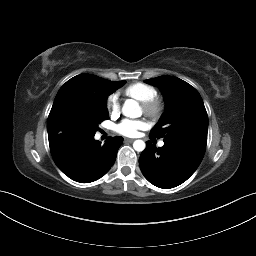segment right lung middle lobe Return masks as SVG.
<instances>
[{"label": "right lung middle lobe", "mask_w": 256, "mask_h": 256, "mask_svg": "<svg viewBox=\"0 0 256 256\" xmlns=\"http://www.w3.org/2000/svg\"><path fill=\"white\" fill-rule=\"evenodd\" d=\"M126 83V81H106L100 85L98 98L84 107H66L57 116L55 134L72 133L77 135H93L98 125L109 118L106 98Z\"/></svg>", "instance_id": "1"}]
</instances>
